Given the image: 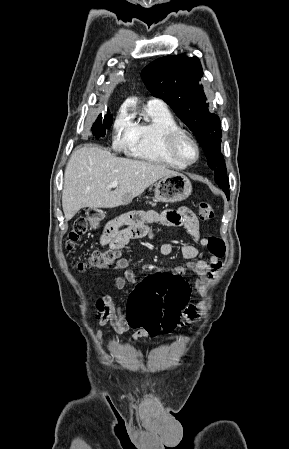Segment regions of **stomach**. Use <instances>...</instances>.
<instances>
[{"label":"stomach","instance_id":"obj_1","mask_svg":"<svg viewBox=\"0 0 289 449\" xmlns=\"http://www.w3.org/2000/svg\"><path fill=\"white\" fill-rule=\"evenodd\" d=\"M192 193L190 180L183 174L165 176L156 183L154 200L165 203L180 202L188 198ZM99 218L90 217V227L96 229L99 226Z\"/></svg>","mask_w":289,"mask_h":449}]
</instances>
